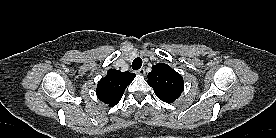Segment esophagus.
Listing matches in <instances>:
<instances>
[{"mask_svg": "<svg viewBox=\"0 0 276 138\" xmlns=\"http://www.w3.org/2000/svg\"><path fill=\"white\" fill-rule=\"evenodd\" d=\"M137 72H138V74L144 76L145 75V68H140Z\"/></svg>", "mask_w": 276, "mask_h": 138, "instance_id": "1", "label": "esophagus"}]
</instances>
